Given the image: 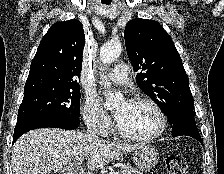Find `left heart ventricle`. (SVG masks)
<instances>
[{"label": "left heart ventricle", "instance_id": "1", "mask_svg": "<svg viewBox=\"0 0 224 174\" xmlns=\"http://www.w3.org/2000/svg\"><path fill=\"white\" fill-rule=\"evenodd\" d=\"M121 129L133 135H148L156 131L159 118L153 108L145 103L122 102L115 109Z\"/></svg>", "mask_w": 224, "mask_h": 174}]
</instances>
